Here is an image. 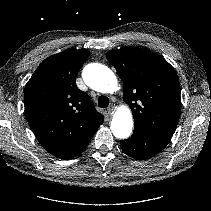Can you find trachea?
Instances as JSON below:
<instances>
[{"instance_id": "obj_1", "label": "trachea", "mask_w": 211, "mask_h": 211, "mask_svg": "<svg viewBox=\"0 0 211 211\" xmlns=\"http://www.w3.org/2000/svg\"><path fill=\"white\" fill-rule=\"evenodd\" d=\"M109 103H110V101H109L108 97H106V96H100L98 98V105L101 108L108 107Z\"/></svg>"}]
</instances>
